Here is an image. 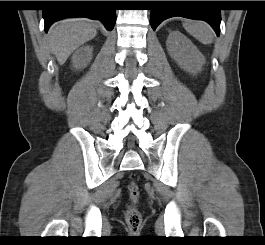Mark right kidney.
I'll list each match as a JSON object with an SVG mask.
<instances>
[{
	"label": "right kidney",
	"mask_w": 265,
	"mask_h": 245,
	"mask_svg": "<svg viewBox=\"0 0 265 245\" xmlns=\"http://www.w3.org/2000/svg\"><path fill=\"white\" fill-rule=\"evenodd\" d=\"M92 59V47L83 46L78 49L72 56V66L76 69L85 68Z\"/></svg>",
	"instance_id": "1"
}]
</instances>
